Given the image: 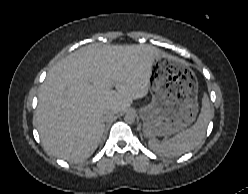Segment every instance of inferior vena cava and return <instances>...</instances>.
Here are the masks:
<instances>
[{
	"label": "inferior vena cava",
	"instance_id": "602c4592",
	"mask_svg": "<svg viewBox=\"0 0 248 194\" xmlns=\"http://www.w3.org/2000/svg\"><path fill=\"white\" fill-rule=\"evenodd\" d=\"M114 114L115 112L114 111H111V112H108L106 115H105V121H108L110 119H112L114 117Z\"/></svg>",
	"mask_w": 248,
	"mask_h": 194
}]
</instances>
